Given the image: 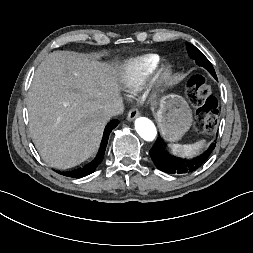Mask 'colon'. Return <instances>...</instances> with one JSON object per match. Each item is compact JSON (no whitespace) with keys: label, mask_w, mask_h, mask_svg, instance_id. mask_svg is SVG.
<instances>
[{"label":"colon","mask_w":253,"mask_h":253,"mask_svg":"<svg viewBox=\"0 0 253 253\" xmlns=\"http://www.w3.org/2000/svg\"><path fill=\"white\" fill-rule=\"evenodd\" d=\"M187 96L198 107L200 130L206 134L212 133L217 124L219 105L207 79L201 75L191 77L187 84Z\"/></svg>","instance_id":"1"}]
</instances>
